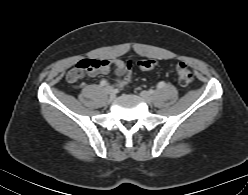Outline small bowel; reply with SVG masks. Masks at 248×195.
<instances>
[{
    "mask_svg": "<svg viewBox=\"0 0 248 195\" xmlns=\"http://www.w3.org/2000/svg\"><path fill=\"white\" fill-rule=\"evenodd\" d=\"M92 69L87 74L91 77L107 74L113 68L117 76L116 84L119 85L121 78L127 73L126 62L122 59H91Z\"/></svg>",
    "mask_w": 248,
    "mask_h": 195,
    "instance_id": "obj_1",
    "label": "small bowel"
}]
</instances>
